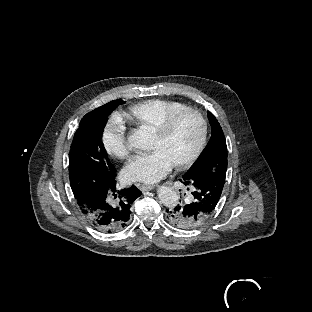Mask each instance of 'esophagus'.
I'll return each instance as SVG.
<instances>
[{
	"label": "esophagus",
	"instance_id": "34e87169",
	"mask_svg": "<svg viewBox=\"0 0 312 312\" xmlns=\"http://www.w3.org/2000/svg\"><path fill=\"white\" fill-rule=\"evenodd\" d=\"M136 186L141 190V191H149L155 187L154 184L150 183H137Z\"/></svg>",
	"mask_w": 312,
	"mask_h": 312
}]
</instances>
